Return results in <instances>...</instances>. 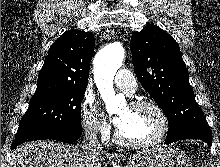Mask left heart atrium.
<instances>
[{"instance_id": "obj_1", "label": "left heart atrium", "mask_w": 220, "mask_h": 167, "mask_svg": "<svg viewBox=\"0 0 220 167\" xmlns=\"http://www.w3.org/2000/svg\"><path fill=\"white\" fill-rule=\"evenodd\" d=\"M114 123L119 127L121 124V117L118 116V117L114 118Z\"/></svg>"}]
</instances>
